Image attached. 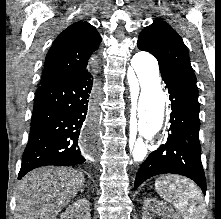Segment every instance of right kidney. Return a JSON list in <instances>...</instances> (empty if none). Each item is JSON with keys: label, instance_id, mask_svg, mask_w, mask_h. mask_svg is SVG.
Listing matches in <instances>:
<instances>
[{"label": "right kidney", "instance_id": "obj_1", "mask_svg": "<svg viewBox=\"0 0 221 219\" xmlns=\"http://www.w3.org/2000/svg\"><path fill=\"white\" fill-rule=\"evenodd\" d=\"M61 219H91L89 202L85 198L76 200L62 213Z\"/></svg>", "mask_w": 221, "mask_h": 219}]
</instances>
